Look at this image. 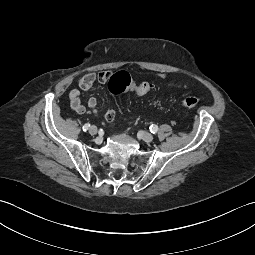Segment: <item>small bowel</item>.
Returning <instances> with one entry per match:
<instances>
[{
  "mask_svg": "<svg viewBox=\"0 0 255 255\" xmlns=\"http://www.w3.org/2000/svg\"><path fill=\"white\" fill-rule=\"evenodd\" d=\"M109 77V71H100L98 73L91 72L80 77L77 81V88L72 89L69 93V99L72 109L78 114H83L87 111L93 114H98L97 100L92 97L87 101V104L84 105L81 102L80 95L82 92L90 90L95 82L105 83L109 79ZM159 77L162 79L166 78L164 74H159ZM169 85L178 88H182L185 86L183 83L174 82H169ZM114 115V111L109 110L105 113L104 117L107 121H111L114 118Z\"/></svg>",
  "mask_w": 255,
  "mask_h": 255,
  "instance_id": "small-bowel-1",
  "label": "small bowel"
}]
</instances>
